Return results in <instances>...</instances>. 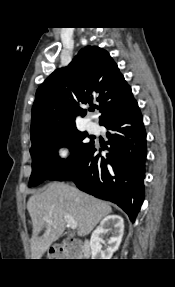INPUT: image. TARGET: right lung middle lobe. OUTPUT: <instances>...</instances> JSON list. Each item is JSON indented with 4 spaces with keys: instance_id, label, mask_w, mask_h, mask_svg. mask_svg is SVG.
<instances>
[{
    "instance_id": "obj_1",
    "label": "right lung middle lobe",
    "mask_w": 175,
    "mask_h": 287,
    "mask_svg": "<svg viewBox=\"0 0 175 287\" xmlns=\"http://www.w3.org/2000/svg\"><path fill=\"white\" fill-rule=\"evenodd\" d=\"M86 136V132L72 128L32 143V174L28 186H36L46 179L57 180L79 166L94 144L83 142ZM62 146L72 151L66 160L58 156Z\"/></svg>"
}]
</instances>
